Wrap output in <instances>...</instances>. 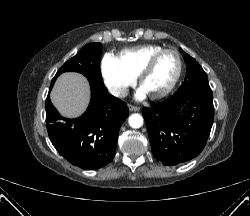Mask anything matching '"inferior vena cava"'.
<instances>
[{"mask_svg": "<svg viewBox=\"0 0 250 216\" xmlns=\"http://www.w3.org/2000/svg\"><path fill=\"white\" fill-rule=\"evenodd\" d=\"M109 92L116 97H126L128 95V89L120 86L109 87Z\"/></svg>", "mask_w": 250, "mask_h": 216, "instance_id": "inferior-vena-cava-1", "label": "inferior vena cava"}]
</instances>
